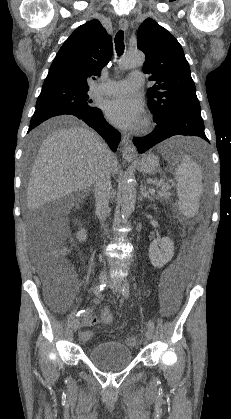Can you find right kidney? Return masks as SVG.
Wrapping results in <instances>:
<instances>
[{
    "label": "right kidney",
    "mask_w": 231,
    "mask_h": 419,
    "mask_svg": "<svg viewBox=\"0 0 231 419\" xmlns=\"http://www.w3.org/2000/svg\"><path fill=\"white\" fill-rule=\"evenodd\" d=\"M76 238L79 240V242H84V241H86L87 234H86L85 229H81V230L77 233Z\"/></svg>",
    "instance_id": "right-kidney-1"
}]
</instances>
